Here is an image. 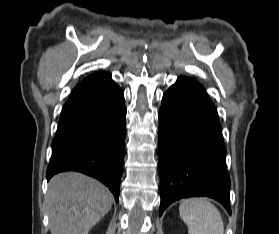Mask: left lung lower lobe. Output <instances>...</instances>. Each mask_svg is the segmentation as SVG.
Wrapping results in <instances>:
<instances>
[{"mask_svg":"<svg viewBox=\"0 0 279 234\" xmlns=\"http://www.w3.org/2000/svg\"><path fill=\"white\" fill-rule=\"evenodd\" d=\"M160 215L174 201L208 196L231 214L230 178L217 110L197 81L179 77L158 114Z\"/></svg>","mask_w":279,"mask_h":234,"instance_id":"1","label":"left lung lower lobe"}]
</instances>
